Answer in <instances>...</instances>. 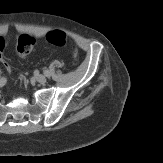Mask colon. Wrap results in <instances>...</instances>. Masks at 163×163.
I'll return each mask as SVG.
<instances>
[{"mask_svg":"<svg viewBox=\"0 0 163 163\" xmlns=\"http://www.w3.org/2000/svg\"><path fill=\"white\" fill-rule=\"evenodd\" d=\"M47 41L56 46H65L67 44V36L60 30H52L46 35ZM36 41L30 35H22L19 37L16 45V52L20 58H25L35 47ZM4 41L0 38V64L4 65L7 69L9 66L3 56ZM73 58L77 60L78 51L73 47Z\"/></svg>","mask_w":163,"mask_h":163,"instance_id":"1","label":"colon"}]
</instances>
